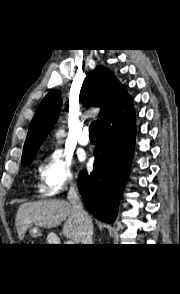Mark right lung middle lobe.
<instances>
[{"label":"right lung middle lobe","instance_id":"right-lung-middle-lobe-1","mask_svg":"<svg viewBox=\"0 0 180 294\" xmlns=\"http://www.w3.org/2000/svg\"><path fill=\"white\" fill-rule=\"evenodd\" d=\"M34 157H35V156L30 157V158H28V159H26V160H23V161H22V166H26V165L30 164V163L32 162V160L34 159Z\"/></svg>","mask_w":180,"mask_h":294}]
</instances>
